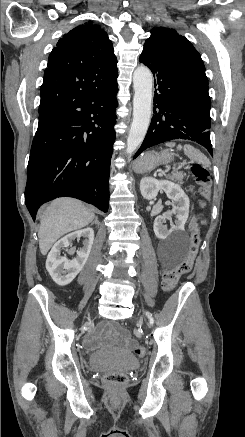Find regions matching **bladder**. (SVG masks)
Masks as SVG:
<instances>
[{"instance_id": "obj_1", "label": "bladder", "mask_w": 245, "mask_h": 437, "mask_svg": "<svg viewBox=\"0 0 245 437\" xmlns=\"http://www.w3.org/2000/svg\"><path fill=\"white\" fill-rule=\"evenodd\" d=\"M89 364L95 369L128 371L137 368L139 361L128 351L104 348L89 356Z\"/></svg>"}]
</instances>
